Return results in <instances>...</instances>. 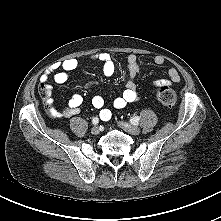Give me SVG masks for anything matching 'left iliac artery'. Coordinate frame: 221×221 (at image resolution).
Returning a JSON list of instances; mask_svg holds the SVG:
<instances>
[{
  "mask_svg": "<svg viewBox=\"0 0 221 221\" xmlns=\"http://www.w3.org/2000/svg\"><path fill=\"white\" fill-rule=\"evenodd\" d=\"M139 120H140V117L139 116H135L133 118L130 119V122L133 124V125H137L139 123Z\"/></svg>",
  "mask_w": 221,
  "mask_h": 221,
  "instance_id": "1",
  "label": "left iliac artery"
}]
</instances>
